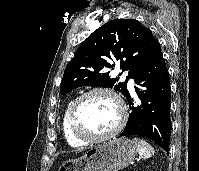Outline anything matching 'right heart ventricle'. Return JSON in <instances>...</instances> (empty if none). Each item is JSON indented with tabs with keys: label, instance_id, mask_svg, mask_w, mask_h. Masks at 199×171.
Returning <instances> with one entry per match:
<instances>
[{
	"label": "right heart ventricle",
	"instance_id": "1",
	"mask_svg": "<svg viewBox=\"0 0 199 171\" xmlns=\"http://www.w3.org/2000/svg\"><path fill=\"white\" fill-rule=\"evenodd\" d=\"M71 103L72 102H70L64 110L62 120H61V128H62V133L66 142L72 147H79L86 144V141L75 137L71 132V129L69 126V110H70Z\"/></svg>",
	"mask_w": 199,
	"mask_h": 171
}]
</instances>
